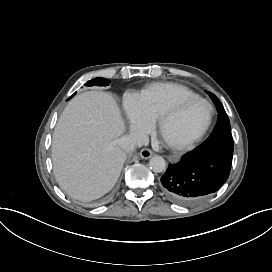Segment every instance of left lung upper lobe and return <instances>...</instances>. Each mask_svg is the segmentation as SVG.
Listing matches in <instances>:
<instances>
[{
	"label": "left lung upper lobe",
	"mask_w": 272,
	"mask_h": 272,
	"mask_svg": "<svg viewBox=\"0 0 272 272\" xmlns=\"http://www.w3.org/2000/svg\"><path fill=\"white\" fill-rule=\"evenodd\" d=\"M208 94L217 108L219 114L218 123L211 137L199 149L221 148L233 151L234 144L230 130L229 118L219 99L211 92H208Z\"/></svg>",
	"instance_id": "obj_1"
}]
</instances>
